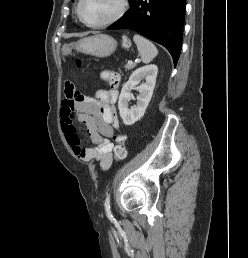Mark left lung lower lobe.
<instances>
[{
  "mask_svg": "<svg viewBox=\"0 0 248 258\" xmlns=\"http://www.w3.org/2000/svg\"><path fill=\"white\" fill-rule=\"evenodd\" d=\"M130 9L108 30L131 29L163 45L177 64L186 0H129Z\"/></svg>",
  "mask_w": 248,
  "mask_h": 258,
  "instance_id": "1",
  "label": "left lung lower lobe"
}]
</instances>
